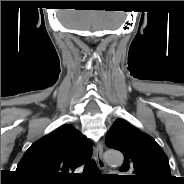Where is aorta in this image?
I'll return each instance as SVG.
<instances>
[{"label":"aorta","instance_id":"762f6f07","mask_svg":"<svg viewBox=\"0 0 184 184\" xmlns=\"http://www.w3.org/2000/svg\"><path fill=\"white\" fill-rule=\"evenodd\" d=\"M105 160L109 165H121L123 163V155L119 151L108 150L104 154Z\"/></svg>","mask_w":184,"mask_h":184}]
</instances>
